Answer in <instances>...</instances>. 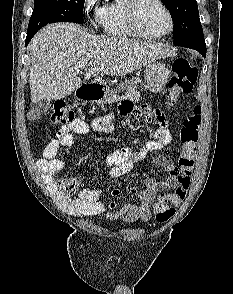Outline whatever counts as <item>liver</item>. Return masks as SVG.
Wrapping results in <instances>:
<instances>
[{"instance_id": "obj_1", "label": "liver", "mask_w": 233, "mask_h": 294, "mask_svg": "<svg viewBox=\"0 0 233 294\" xmlns=\"http://www.w3.org/2000/svg\"><path fill=\"white\" fill-rule=\"evenodd\" d=\"M31 101L58 100L81 87L75 66L87 62L85 80L98 73L123 76L172 55L160 43L91 35L80 25L56 23L43 28L28 45Z\"/></svg>"}]
</instances>
